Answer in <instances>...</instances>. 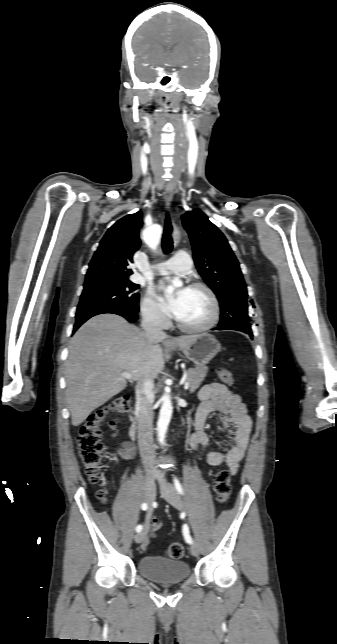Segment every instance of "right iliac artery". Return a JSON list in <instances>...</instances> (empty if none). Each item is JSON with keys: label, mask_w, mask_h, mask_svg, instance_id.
<instances>
[{"label": "right iliac artery", "mask_w": 337, "mask_h": 644, "mask_svg": "<svg viewBox=\"0 0 337 644\" xmlns=\"http://www.w3.org/2000/svg\"><path fill=\"white\" fill-rule=\"evenodd\" d=\"M141 508H142V510H144V511H145V510H147V509H148V505H147V503H143V504L141 505ZM141 530H142V525H138V526L136 527V531H137V532H140Z\"/></svg>", "instance_id": "1"}]
</instances>
